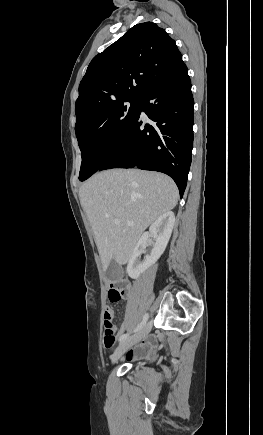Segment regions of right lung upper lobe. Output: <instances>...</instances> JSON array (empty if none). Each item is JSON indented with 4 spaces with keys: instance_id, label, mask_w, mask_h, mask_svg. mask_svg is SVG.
<instances>
[{
    "instance_id": "right-lung-upper-lobe-1",
    "label": "right lung upper lobe",
    "mask_w": 263,
    "mask_h": 435,
    "mask_svg": "<svg viewBox=\"0 0 263 435\" xmlns=\"http://www.w3.org/2000/svg\"><path fill=\"white\" fill-rule=\"evenodd\" d=\"M182 64L164 29L152 22L133 26L90 62L79 85L75 128L112 103L141 99Z\"/></svg>"
}]
</instances>
